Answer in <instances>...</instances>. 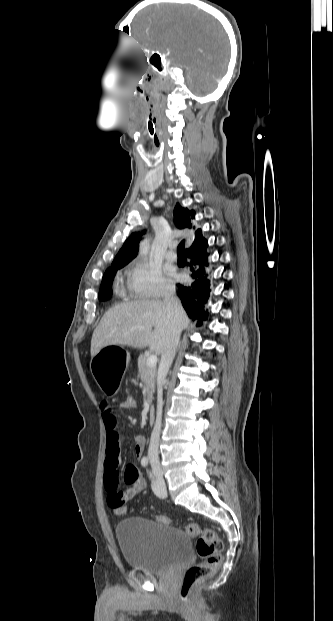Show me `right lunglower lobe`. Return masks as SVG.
Listing matches in <instances>:
<instances>
[{
  "label": "right lung lower lobe",
  "instance_id": "1",
  "mask_svg": "<svg viewBox=\"0 0 333 621\" xmlns=\"http://www.w3.org/2000/svg\"><path fill=\"white\" fill-rule=\"evenodd\" d=\"M207 246L208 244L195 246L187 251L189 258L187 266L192 271L194 282L190 285L177 284V294L189 317L192 319L200 317V321L208 316V312L204 311V304L207 303L210 292L208 275L205 274V267L209 266Z\"/></svg>",
  "mask_w": 333,
  "mask_h": 621
}]
</instances>
